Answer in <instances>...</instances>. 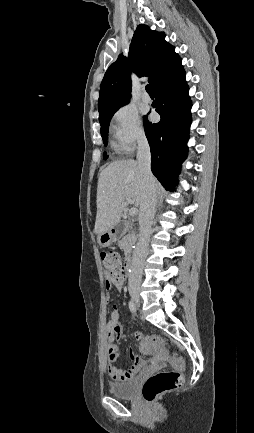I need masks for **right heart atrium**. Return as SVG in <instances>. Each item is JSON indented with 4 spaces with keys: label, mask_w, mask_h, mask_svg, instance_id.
<instances>
[{
    "label": "right heart atrium",
    "mask_w": 254,
    "mask_h": 433,
    "mask_svg": "<svg viewBox=\"0 0 254 433\" xmlns=\"http://www.w3.org/2000/svg\"><path fill=\"white\" fill-rule=\"evenodd\" d=\"M110 131L117 149L125 154L146 141V133L138 113L129 106L119 108L111 118Z\"/></svg>",
    "instance_id": "right-heart-atrium-1"
}]
</instances>
